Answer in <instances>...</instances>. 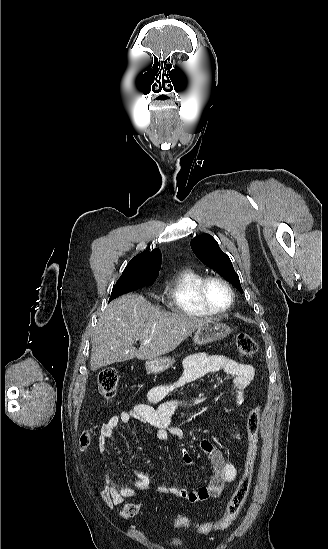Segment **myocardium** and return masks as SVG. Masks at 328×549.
I'll list each match as a JSON object with an SVG mask.
<instances>
[{
  "instance_id": "obj_1",
  "label": "myocardium",
  "mask_w": 328,
  "mask_h": 549,
  "mask_svg": "<svg viewBox=\"0 0 328 549\" xmlns=\"http://www.w3.org/2000/svg\"><path fill=\"white\" fill-rule=\"evenodd\" d=\"M212 283H220L224 285L229 291L230 302L228 306L223 310H214L208 306L209 302L207 298V291ZM198 298L200 301V305H198L197 308L202 314L213 318H223L233 310L236 301V293L233 285L227 279L221 276H208L199 285Z\"/></svg>"
}]
</instances>
